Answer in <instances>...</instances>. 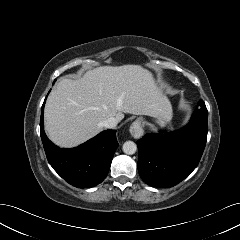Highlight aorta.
Returning a JSON list of instances; mask_svg holds the SVG:
<instances>
[{
	"label": "aorta",
	"instance_id": "762f6f07",
	"mask_svg": "<svg viewBox=\"0 0 240 240\" xmlns=\"http://www.w3.org/2000/svg\"><path fill=\"white\" fill-rule=\"evenodd\" d=\"M122 150L127 155H132L137 151V145L133 141H126L123 146Z\"/></svg>",
	"mask_w": 240,
	"mask_h": 240
}]
</instances>
